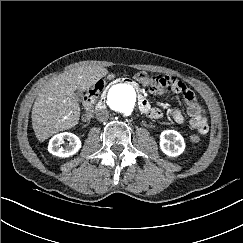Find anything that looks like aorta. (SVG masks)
Returning <instances> with one entry per match:
<instances>
[{"mask_svg": "<svg viewBox=\"0 0 243 243\" xmlns=\"http://www.w3.org/2000/svg\"><path fill=\"white\" fill-rule=\"evenodd\" d=\"M135 102V89L126 83L113 85L107 93V104L110 108L124 115L132 113Z\"/></svg>", "mask_w": 243, "mask_h": 243, "instance_id": "1", "label": "aorta"}]
</instances>
